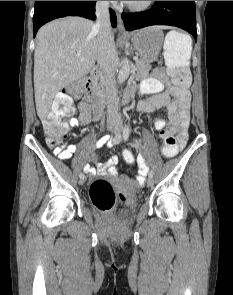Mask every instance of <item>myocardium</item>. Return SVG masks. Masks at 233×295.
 <instances>
[{"mask_svg": "<svg viewBox=\"0 0 233 295\" xmlns=\"http://www.w3.org/2000/svg\"><path fill=\"white\" fill-rule=\"evenodd\" d=\"M155 1H144L143 3L140 4H132L129 2L126 3L127 9H129L132 12H144L151 8L153 6Z\"/></svg>", "mask_w": 233, "mask_h": 295, "instance_id": "obj_1", "label": "myocardium"}]
</instances>
